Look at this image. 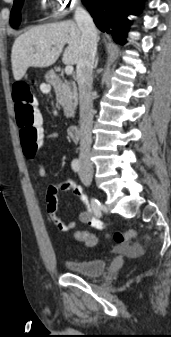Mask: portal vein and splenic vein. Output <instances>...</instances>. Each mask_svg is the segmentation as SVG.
Instances as JSON below:
<instances>
[{
    "instance_id": "18ae733b",
    "label": "portal vein and splenic vein",
    "mask_w": 171,
    "mask_h": 337,
    "mask_svg": "<svg viewBox=\"0 0 171 337\" xmlns=\"http://www.w3.org/2000/svg\"><path fill=\"white\" fill-rule=\"evenodd\" d=\"M73 66L72 65H67L66 67H65V73L67 74V75H71L72 73H73Z\"/></svg>"
}]
</instances>
